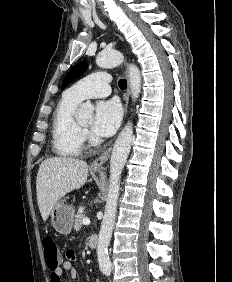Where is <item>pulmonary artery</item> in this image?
<instances>
[{"mask_svg": "<svg viewBox=\"0 0 232 282\" xmlns=\"http://www.w3.org/2000/svg\"><path fill=\"white\" fill-rule=\"evenodd\" d=\"M110 82L109 73L96 72L75 83L66 93L78 101L86 98L105 97L111 92Z\"/></svg>", "mask_w": 232, "mask_h": 282, "instance_id": "e3ab8cb5", "label": "pulmonary artery"}]
</instances>
